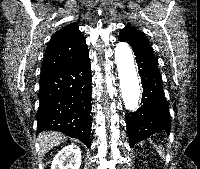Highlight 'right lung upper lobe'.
<instances>
[{"label": "right lung upper lobe", "instance_id": "obj_1", "mask_svg": "<svg viewBox=\"0 0 200 169\" xmlns=\"http://www.w3.org/2000/svg\"><path fill=\"white\" fill-rule=\"evenodd\" d=\"M87 50L85 39L77 24H69L57 31L49 41L41 73L70 65Z\"/></svg>", "mask_w": 200, "mask_h": 169}]
</instances>
